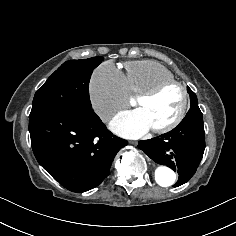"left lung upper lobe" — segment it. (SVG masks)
Instances as JSON below:
<instances>
[{"instance_id": "5c2ea615", "label": "left lung upper lobe", "mask_w": 236, "mask_h": 236, "mask_svg": "<svg viewBox=\"0 0 236 236\" xmlns=\"http://www.w3.org/2000/svg\"><path fill=\"white\" fill-rule=\"evenodd\" d=\"M187 91L190 94L191 106L188 113L186 114V117L202 116V112L198 107V100L195 93L189 87H187Z\"/></svg>"}]
</instances>
